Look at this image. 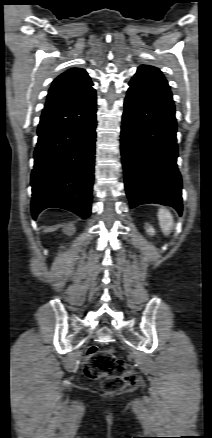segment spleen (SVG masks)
Segmentation results:
<instances>
[{"mask_svg":"<svg viewBox=\"0 0 212 438\" xmlns=\"http://www.w3.org/2000/svg\"><path fill=\"white\" fill-rule=\"evenodd\" d=\"M158 219L161 230L165 236H168L173 229V216L164 208H160L158 211Z\"/></svg>","mask_w":212,"mask_h":438,"instance_id":"1","label":"spleen"}]
</instances>
